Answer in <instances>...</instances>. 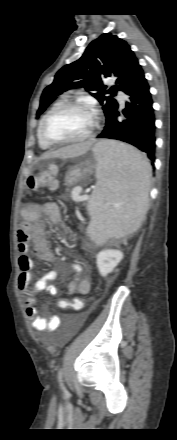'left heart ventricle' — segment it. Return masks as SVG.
<instances>
[{
  "mask_svg": "<svg viewBox=\"0 0 177 440\" xmlns=\"http://www.w3.org/2000/svg\"><path fill=\"white\" fill-rule=\"evenodd\" d=\"M93 125L92 117L84 110L71 109L56 115L47 126L50 137L58 140L78 139Z\"/></svg>",
  "mask_w": 177,
  "mask_h": 440,
  "instance_id": "left-heart-ventricle-1",
  "label": "left heart ventricle"
}]
</instances>
